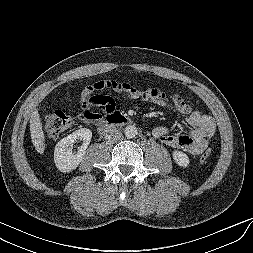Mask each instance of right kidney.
I'll return each mask as SVG.
<instances>
[{"mask_svg": "<svg viewBox=\"0 0 253 253\" xmlns=\"http://www.w3.org/2000/svg\"><path fill=\"white\" fill-rule=\"evenodd\" d=\"M77 139L83 140L82 146L77 153L72 150L73 144ZM92 139V132L87 128H81L61 139L55 146L54 162L61 172H70L78 167L82 161L86 149Z\"/></svg>", "mask_w": 253, "mask_h": 253, "instance_id": "1", "label": "right kidney"}]
</instances>
